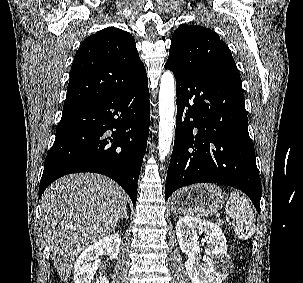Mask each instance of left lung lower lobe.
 <instances>
[{
	"label": "left lung lower lobe",
	"mask_w": 303,
	"mask_h": 283,
	"mask_svg": "<svg viewBox=\"0 0 303 283\" xmlns=\"http://www.w3.org/2000/svg\"><path fill=\"white\" fill-rule=\"evenodd\" d=\"M176 77L177 121L165 198L202 182L235 187L260 213L261 181L248 133L240 78L211 71L189 73L169 64Z\"/></svg>",
	"instance_id": "1"
}]
</instances>
